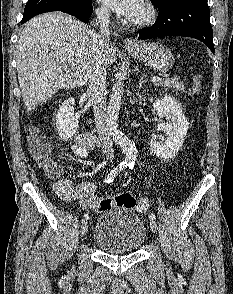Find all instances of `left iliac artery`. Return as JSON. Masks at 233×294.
I'll use <instances>...</instances> for the list:
<instances>
[{
	"label": "left iliac artery",
	"instance_id": "44dca946",
	"mask_svg": "<svg viewBox=\"0 0 233 294\" xmlns=\"http://www.w3.org/2000/svg\"><path fill=\"white\" fill-rule=\"evenodd\" d=\"M133 167H134V164H129V169L133 170ZM149 218L151 220H154L155 219V215L154 214H150Z\"/></svg>",
	"mask_w": 233,
	"mask_h": 294
}]
</instances>
